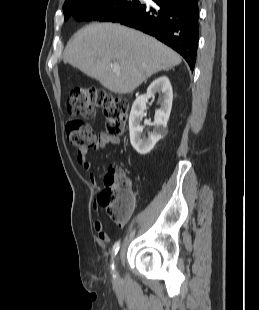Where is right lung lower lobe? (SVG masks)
<instances>
[{"label":"right lung lower lobe","mask_w":259,"mask_h":310,"mask_svg":"<svg viewBox=\"0 0 259 310\" xmlns=\"http://www.w3.org/2000/svg\"><path fill=\"white\" fill-rule=\"evenodd\" d=\"M157 9L142 4L119 23L156 37L195 67L199 38L198 0H153Z\"/></svg>","instance_id":"right-lung-lower-lobe-1"}]
</instances>
